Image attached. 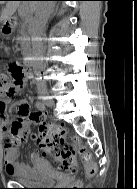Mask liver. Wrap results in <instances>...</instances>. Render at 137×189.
I'll use <instances>...</instances> for the list:
<instances>
[{
    "label": "liver",
    "instance_id": "6515ba94",
    "mask_svg": "<svg viewBox=\"0 0 137 189\" xmlns=\"http://www.w3.org/2000/svg\"><path fill=\"white\" fill-rule=\"evenodd\" d=\"M43 4L44 3L37 1V2H30L29 6L32 11L36 12L43 6ZM19 5H20L19 1H8L6 3V7L1 12L0 22L10 19V17L15 13Z\"/></svg>",
    "mask_w": 137,
    "mask_h": 189
}]
</instances>
